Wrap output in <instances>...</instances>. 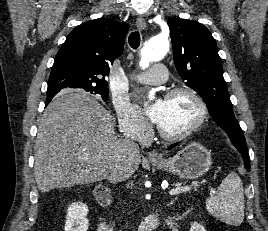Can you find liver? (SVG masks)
Listing matches in <instances>:
<instances>
[{
	"label": "liver",
	"instance_id": "1",
	"mask_svg": "<svg viewBox=\"0 0 268 231\" xmlns=\"http://www.w3.org/2000/svg\"><path fill=\"white\" fill-rule=\"evenodd\" d=\"M115 120L93 96L66 90L45 109L35 142L34 174L45 193L54 188L128 179L139 167V149L114 132Z\"/></svg>",
	"mask_w": 268,
	"mask_h": 231
}]
</instances>
